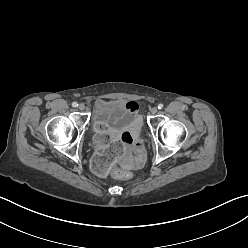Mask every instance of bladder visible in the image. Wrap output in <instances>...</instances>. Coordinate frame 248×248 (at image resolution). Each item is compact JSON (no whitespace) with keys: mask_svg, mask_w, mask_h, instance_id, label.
<instances>
[{"mask_svg":"<svg viewBox=\"0 0 248 248\" xmlns=\"http://www.w3.org/2000/svg\"><path fill=\"white\" fill-rule=\"evenodd\" d=\"M135 120V114L123 100H97L92 108L91 132L94 136L101 127L106 126L112 132H120Z\"/></svg>","mask_w":248,"mask_h":248,"instance_id":"1","label":"bladder"}]
</instances>
